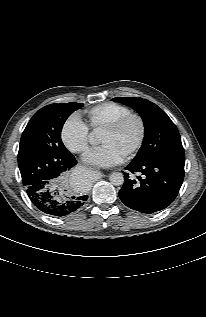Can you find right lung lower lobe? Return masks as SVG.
<instances>
[{"mask_svg":"<svg viewBox=\"0 0 206 317\" xmlns=\"http://www.w3.org/2000/svg\"><path fill=\"white\" fill-rule=\"evenodd\" d=\"M60 162L61 164L53 172L35 175L23 181L32 203L42 212L58 217L72 214L83 206L88 198L87 195L66 190L65 185L55 184L61 172H66L77 164L73 155Z\"/></svg>","mask_w":206,"mask_h":317,"instance_id":"98d812e1","label":"right lung lower lobe"}]
</instances>
